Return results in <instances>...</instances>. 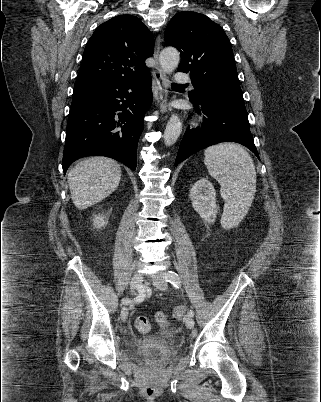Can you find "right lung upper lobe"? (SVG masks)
<instances>
[{"label": "right lung upper lobe", "mask_w": 321, "mask_h": 402, "mask_svg": "<svg viewBox=\"0 0 321 402\" xmlns=\"http://www.w3.org/2000/svg\"><path fill=\"white\" fill-rule=\"evenodd\" d=\"M153 52V35L137 17L116 16L89 39L74 88L143 77L150 73L145 60Z\"/></svg>", "instance_id": "1"}]
</instances>
